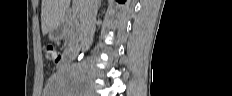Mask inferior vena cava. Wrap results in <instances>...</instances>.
Instances as JSON below:
<instances>
[{
	"label": "inferior vena cava",
	"mask_w": 232,
	"mask_h": 96,
	"mask_svg": "<svg viewBox=\"0 0 232 96\" xmlns=\"http://www.w3.org/2000/svg\"><path fill=\"white\" fill-rule=\"evenodd\" d=\"M99 0H81L80 6V43L83 50H88L92 44L95 32V19Z\"/></svg>",
	"instance_id": "1"
}]
</instances>
